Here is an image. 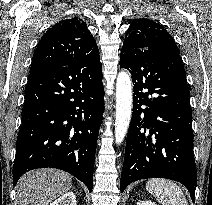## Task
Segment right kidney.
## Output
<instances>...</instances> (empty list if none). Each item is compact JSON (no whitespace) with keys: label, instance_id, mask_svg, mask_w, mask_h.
<instances>
[{"label":"right kidney","instance_id":"1","mask_svg":"<svg viewBox=\"0 0 212 205\" xmlns=\"http://www.w3.org/2000/svg\"><path fill=\"white\" fill-rule=\"evenodd\" d=\"M50 205H77L76 204V195L73 192H67L59 197Z\"/></svg>","mask_w":212,"mask_h":205}]
</instances>
